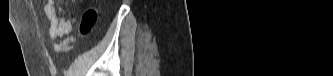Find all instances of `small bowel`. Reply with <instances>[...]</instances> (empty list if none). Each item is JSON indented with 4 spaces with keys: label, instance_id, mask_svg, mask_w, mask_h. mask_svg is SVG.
<instances>
[{
    "label": "small bowel",
    "instance_id": "1",
    "mask_svg": "<svg viewBox=\"0 0 333 76\" xmlns=\"http://www.w3.org/2000/svg\"><path fill=\"white\" fill-rule=\"evenodd\" d=\"M45 13L49 22V34L51 39H56L69 34L72 31V24L62 16L63 9L53 0L45 4Z\"/></svg>",
    "mask_w": 333,
    "mask_h": 76
}]
</instances>
